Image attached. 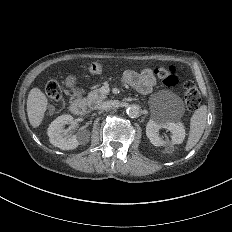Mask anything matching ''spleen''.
Instances as JSON below:
<instances>
[{
	"label": "spleen",
	"mask_w": 232,
	"mask_h": 232,
	"mask_svg": "<svg viewBox=\"0 0 232 232\" xmlns=\"http://www.w3.org/2000/svg\"><path fill=\"white\" fill-rule=\"evenodd\" d=\"M207 121V106L202 105L191 117L189 137L186 144V151L192 149L200 140Z\"/></svg>",
	"instance_id": "3e777b00"
}]
</instances>
